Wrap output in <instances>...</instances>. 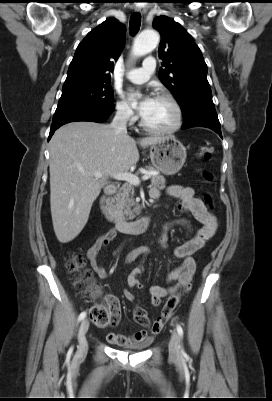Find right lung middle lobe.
Returning <instances> with one entry per match:
<instances>
[{"mask_svg":"<svg viewBox=\"0 0 272 401\" xmlns=\"http://www.w3.org/2000/svg\"><path fill=\"white\" fill-rule=\"evenodd\" d=\"M110 81H103L62 90L53 120L78 113L111 114L114 110Z\"/></svg>","mask_w":272,"mask_h":401,"instance_id":"obj_1","label":"right lung middle lobe"}]
</instances>
